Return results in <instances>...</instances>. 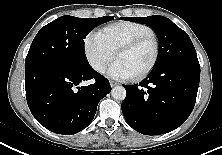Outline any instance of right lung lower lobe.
<instances>
[{
    "label": "right lung lower lobe",
    "instance_id": "1",
    "mask_svg": "<svg viewBox=\"0 0 222 155\" xmlns=\"http://www.w3.org/2000/svg\"><path fill=\"white\" fill-rule=\"evenodd\" d=\"M93 79V84L79 86ZM31 113L48 130L72 135L94 118L99 101L110 91L109 81L90 65L77 69L50 68L25 80Z\"/></svg>",
    "mask_w": 222,
    "mask_h": 155
}]
</instances>
